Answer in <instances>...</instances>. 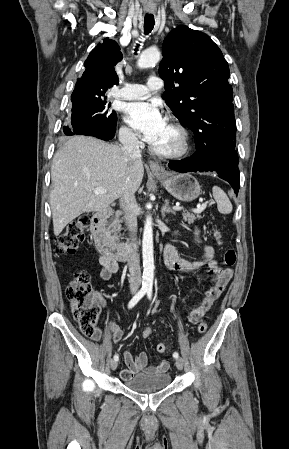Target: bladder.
<instances>
[{
    "mask_svg": "<svg viewBox=\"0 0 289 449\" xmlns=\"http://www.w3.org/2000/svg\"><path fill=\"white\" fill-rule=\"evenodd\" d=\"M171 382L169 373H140L124 380L123 385L133 391H150L166 388Z\"/></svg>",
    "mask_w": 289,
    "mask_h": 449,
    "instance_id": "1",
    "label": "bladder"
}]
</instances>
